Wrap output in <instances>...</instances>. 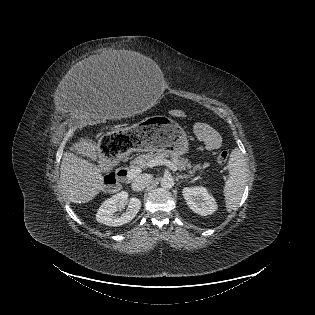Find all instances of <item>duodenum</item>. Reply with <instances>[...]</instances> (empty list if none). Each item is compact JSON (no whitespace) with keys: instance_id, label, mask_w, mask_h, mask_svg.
Here are the masks:
<instances>
[{"instance_id":"obj_1","label":"duodenum","mask_w":315,"mask_h":315,"mask_svg":"<svg viewBox=\"0 0 315 315\" xmlns=\"http://www.w3.org/2000/svg\"><path fill=\"white\" fill-rule=\"evenodd\" d=\"M128 175V172L125 169H120L116 173V178L118 181L125 179Z\"/></svg>"}]
</instances>
